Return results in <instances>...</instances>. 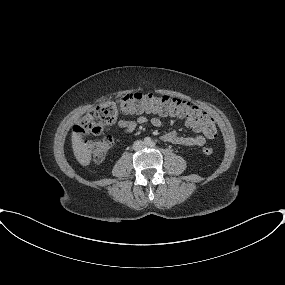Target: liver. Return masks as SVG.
I'll list each match as a JSON object with an SVG mask.
<instances>
[{
  "label": "liver",
  "mask_w": 285,
  "mask_h": 285,
  "mask_svg": "<svg viewBox=\"0 0 285 285\" xmlns=\"http://www.w3.org/2000/svg\"><path fill=\"white\" fill-rule=\"evenodd\" d=\"M72 148L74 156L82 166H88L91 161V151L87 144L76 133H72Z\"/></svg>",
  "instance_id": "liver-1"
}]
</instances>
